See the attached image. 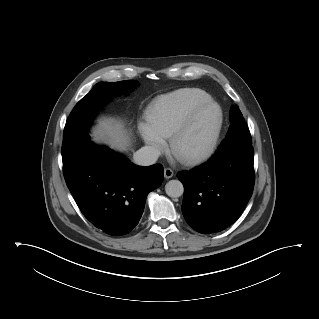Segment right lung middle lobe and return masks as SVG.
<instances>
[{
	"label": "right lung middle lobe",
	"mask_w": 319,
	"mask_h": 319,
	"mask_svg": "<svg viewBox=\"0 0 319 319\" xmlns=\"http://www.w3.org/2000/svg\"><path fill=\"white\" fill-rule=\"evenodd\" d=\"M136 84L134 80L96 84L76 104L67 119L63 134L62 158L68 157L70 152L88 137L89 126L98 108L103 106L112 96L130 91Z\"/></svg>",
	"instance_id": "1"
}]
</instances>
